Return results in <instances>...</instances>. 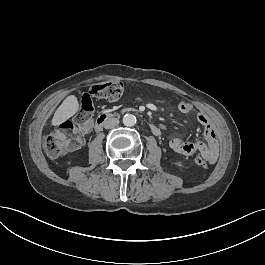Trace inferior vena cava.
<instances>
[{"mask_svg":"<svg viewBox=\"0 0 265 265\" xmlns=\"http://www.w3.org/2000/svg\"><path fill=\"white\" fill-rule=\"evenodd\" d=\"M119 124V119L117 118H107L104 121V128L105 129H112L114 127H116Z\"/></svg>","mask_w":265,"mask_h":265,"instance_id":"1","label":"inferior vena cava"}]
</instances>
